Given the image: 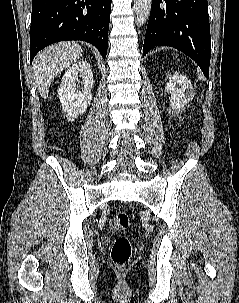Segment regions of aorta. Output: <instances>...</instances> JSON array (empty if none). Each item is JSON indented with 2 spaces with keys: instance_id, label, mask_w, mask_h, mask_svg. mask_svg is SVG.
<instances>
[{
  "instance_id": "762f6f07",
  "label": "aorta",
  "mask_w": 239,
  "mask_h": 303,
  "mask_svg": "<svg viewBox=\"0 0 239 303\" xmlns=\"http://www.w3.org/2000/svg\"><path fill=\"white\" fill-rule=\"evenodd\" d=\"M152 0H134L136 23L142 26L149 18Z\"/></svg>"
}]
</instances>
